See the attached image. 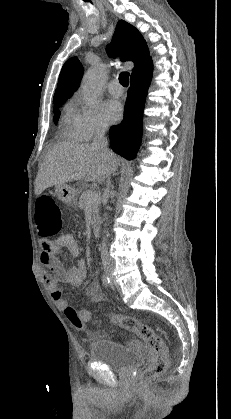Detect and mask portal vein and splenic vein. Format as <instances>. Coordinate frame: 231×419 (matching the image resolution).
Returning <instances> with one entry per match:
<instances>
[{
	"instance_id": "1",
	"label": "portal vein and splenic vein",
	"mask_w": 231,
	"mask_h": 419,
	"mask_svg": "<svg viewBox=\"0 0 231 419\" xmlns=\"http://www.w3.org/2000/svg\"><path fill=\"white\" fill-rule=\"evenodd\" d=\"M99 193L98 192H96V191H93V192H89L88 194H87V198H88V201H89V203H91L92 201H94V200H96L97 198H99Z\"/></svg>"
}]
</instances>
